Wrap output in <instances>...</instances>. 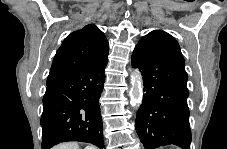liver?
Here are the masks:
<instances>
[{
  "mask_svg": "<svg viewBox=\"0 0 227 149\" xmlns=\"http://www.w3.org/2000/svg\"><path fill=\"white\" fill-rule=\"evenodd\" d=\"M94 147V146H90ZM54 149H79V145L75 142L62 143L54 147Z\"/></svg>",
  "mask_w": 227,
  "mask_h": 149,
  "instance_id": "6515ba94",
  "label": "liver"
}]
</instances>
